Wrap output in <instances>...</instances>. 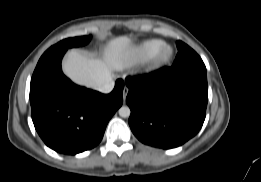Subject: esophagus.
Masks as SVG:
<instances>
[{"instance_id":"obj_1","label":"esophagus","mask_w":261,"mask_h":182,"mask_svg":"<svg viewBox=\"0 0 261 182\" xmlns=\"http://www.w3.org/2000/svg\"><path fill=\"white\" fill-rule=\"evenodd\" d=\"M129 89L125 86L123 89V100L125 101L127 94H128Z\"/></svg>"}]
</instances>
